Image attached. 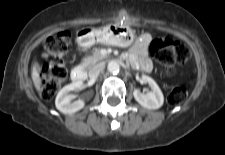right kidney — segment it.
Instances as JSON below:
<instances>
[{"instance_id":"ca27d5eb","label":"right kidney","mask_w":225,"mask_h":155,"mask_svg":"<svg viewBox=\"0 0 225 155\" xmlns=\"http://www.w3.org/2000/svg\"><path fill=\"white\" fill-rule=\"evenodd\" d=\"M82 85V81H76L66 85L58 92L55 99V105L60 112L64 114H72L84 107L85 103L81 99L71 102L72 95L70 94L71 91L80 89Z\"/></svg>"}]
</instances>
